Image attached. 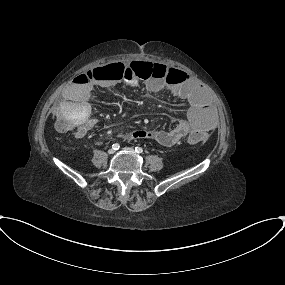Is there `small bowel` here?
Masks as SVG:
<instances>
[{
	"instance_id": "small-bowel-1",
	"label": "small bowel",
	"mask_w": 285,
	"mask_h": 285,
	"mask_svg": "<svg viewBox=\"0 0 285 285\" xmlns=\"http://www.w3.org/2000/svg\"><path fill=\"white\" fill-rule=\"evenodd\" d=\"M122 76L108 66L94 68L90 71H100L103 77L92 79L90 83L84 84L77 81L76 77L64 89V98L59 102L56 113L70 114L77 121L76 135L83 136L88 131L97 127L99 121L88 117L90 105L88 98L95 87L110 88L121 81L123 77H129L127 82L136 86L138 81L134 75H130L128 67H125ZM150 92L169 91L176 99L186 104V119L179 121L173 128L168 130H141L126 134V139L137 138L152 139L164 147L176 144L187 136L191 131L198 130L208 132L215 126L213 114L206 105V95L194 79L188 77L181 83L166 84L160 80L152 79L144 84Z\"/></svg>"
}]
</instances>
